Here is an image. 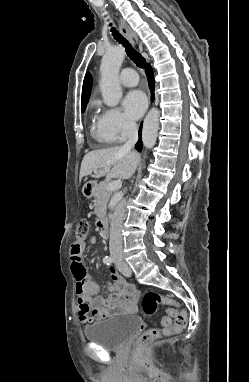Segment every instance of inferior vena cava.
Returning a JSON list of instances; mask_svg holds the SVG:
<instances>
[{
    "mask_svg": "<svg viewBox=\"0 0 249 382\" xmlns=\"http://www.w3.org/2000/svg\"><path fill=\"white\" fill-rule=\"evenodd\" d=\"M138 141V127L135 122L128 124V140L122 146L125 151H130L136 142ZM125 215V209L123 203L118 204L115 207L114 213L110 222V240L109 250L110 255L120 260L122 258V223Z\"/></svg>",
    "mask_w": 249,
    "mask_h": 382,
    "instance_id": "inferior-vena-cava-1",
    "label": "inferior vena cava"
}]
</instances>
